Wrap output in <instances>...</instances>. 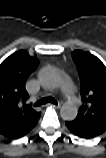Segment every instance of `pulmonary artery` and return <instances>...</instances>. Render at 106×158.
<instances>
[{"label": "pulmonary artery", "mask_w": 106, "mask_h": 158, "mask_svg": "<svg viewBox=\"0 0 106 158\" xmlns=\"http://www.w3.org/2000/svg\"><path fill=\"white\" fill-rule=\"evenodd\" d=\"M66 88L70 92L73 91V85H72L71 81H67Z\"/></svg>", "instance_id": "1"}]
</instances>
